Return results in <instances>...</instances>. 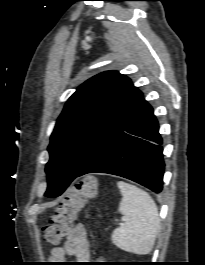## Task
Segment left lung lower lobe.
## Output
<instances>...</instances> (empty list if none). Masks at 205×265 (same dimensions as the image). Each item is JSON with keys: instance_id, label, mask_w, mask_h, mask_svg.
Listing matches in <instances>:
<instances>
[{"instance_id": "obj_1", "label": "left lung lower lobe", "mask_w": 205, "mask_h": 265, "mask_svg": "<svg viewBox=\"0 0 205 265\" xmlns=\"http://www.w3.org/2000/svg\"><path fill=\"white\" fill-rule=\"evenodd\" d=\"M161 144L153 109L142 99L124 125L89 159L76 177L87 173H108L159 193L164 173Z\"/></svg>"}]
</instances>
